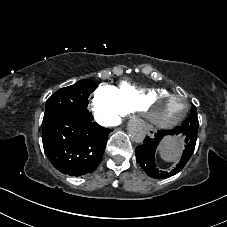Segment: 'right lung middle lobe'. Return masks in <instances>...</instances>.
Here are the masks:
<instances>
[{
    "label": "right lung middle lobe",
    "mask_w": 227,
    "mask_h": 227,
    "mask_svg": "<svg viewBox=\"0 0 227 227\" xmlns=\"http://www.w3.org/2000/svg\"><path fill=\"white\" fill-rule=\"evenodd\" d=\"M96 87L92 80L82 79L74 85L61 88L47 100L43 122L63 114L87 112L88 97Z\"/></svg>",
    "instance_id": "right-lung-middle-lobe-1"
}]
</instances>
